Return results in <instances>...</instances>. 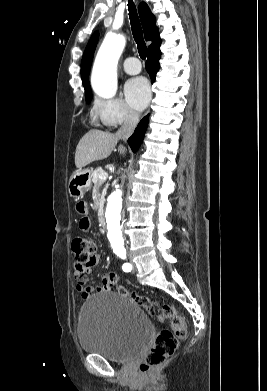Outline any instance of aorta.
I'll list each match as a JSON object with an SVG mask.
<instances>
[{
	"label": "aorta",
	"instance_id": "aorta-1",
	"mask_svg": "<svg viewBox=\"0 0 267 391\" xmlns=\"http://www.w3.org/2000/svg\"><path fill=\"white\" fill-rule=\"evenodd\" d=\"M126 38L122 34L108 33L96 55L92 70L94 92L105 99L113 98L117 92V64L124 50ZM122 192L116 189L108 198L106 222L108 237L114 249L123 250L121 228Z\"/></svg>",
	"mask_w": 267,
	"mask_h": 391
}]
</instances>
